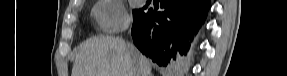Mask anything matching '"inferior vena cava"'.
Masks as SVG:
<instances>
[{"mask_svg":"<svg viewBox=\"0 0 287 76\" xmlns=\"http://www.w3.org/2000/svg\"><path fill=\"white\" fill-rule=\"evenodd\" d=\"M135 76H139L140 74H139V71L136 69L135 70V74H134Z\"/></svg>","mask_w":287,"mask_h":76,"instance_id":"obj_1","label":"inferior vena cava"}]
</instances>
